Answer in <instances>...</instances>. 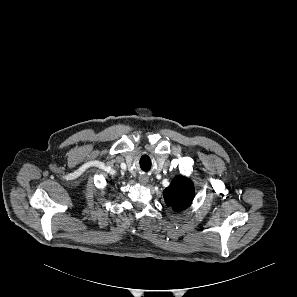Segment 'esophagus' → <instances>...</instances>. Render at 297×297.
<instances>
[{
  "mask_svg": "<svg viewBox=\"0 0 297 297\" xmlns=\"http://www.w3.org/2000/svg\"><path fill=\"white\" fill-rule=\"evenodd\" d=\"M148 181H149V178H148L147 175H141V176H139V183L141 185H146L148 183Z\"/></svg>",
  "mask_w": 297,
  "mask_h": 297,
  "instance_id": "1",
  "label": "esophagus"
}]
</instances>
